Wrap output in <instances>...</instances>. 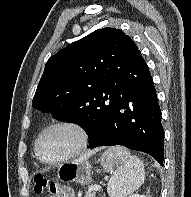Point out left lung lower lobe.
<instances>
[{"mask_svg":"<svg viewBox=\"0 0 191 197\" xmlns=\"http://www.w3.org/2000/svg\"><path fill=\"white\" fill-rule=\"evenodd\" d=\"M90 148L123 145L164 159L161 110L149 69L131 71L87 119Z\"/></svg>","mask_w":191,"mask_h":197,"instance_id":"1","label":"left lung lower lobe"}]
</instances>
